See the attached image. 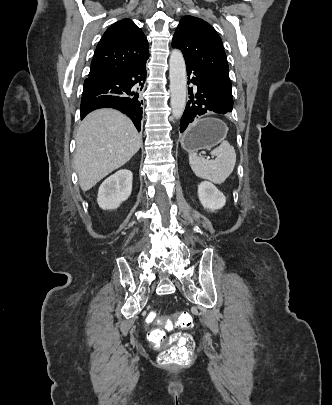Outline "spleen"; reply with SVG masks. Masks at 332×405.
Wrapping results in <instances>:
<instances>
[{"mask_svg":"<svg viewBox=\"0 0 332 405\" xmlns=\"http://www.w3.org/2000/svg\"><path fill=\"white\" fill-rule=\"evenodd\" d=\"M215 160H208L196 154H189V164L194 174L215 184H222L233 172L236 164V152L227 140L211 151Z\"/></svg>","mask_w":332,"mask_h":405,"instance_id":"spleen-1","label":"spleen"}]
</instances>
